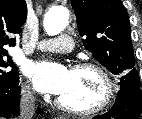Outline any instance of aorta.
<instances>
[{"mask_svg": "<svg viewBox=\"0 0 142 119\" xmlns=\"http://www.w3.org/2000/svg\"><path fill=\"white\" fill-rule=\"evenodd\" d=\"M69 18V11L65 7H52L44 17V29L47 34L53 36L62 32Z\"/></svg>", "mask_w": 142, "mask_h": 119, "instance_id": "obj_1", "label": "aorta"}]
</instances>
